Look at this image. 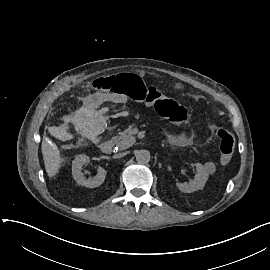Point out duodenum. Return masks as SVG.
Wrapping results in <instances>:
<instances>
[{"label": "duodenum", "mask_w": 270, "mask_h": 270, "mask_svg": "<svg viewBox=\"0 0 270 270\" xmlns=\"http://www.w3.org/2000/svg\"><path fill=\"white\" fill-rule=\"evenodd\" d=\"M114 143L112 140L107 139L100 144V149L103 153L109 154L113 149Z\"/></svg>", "instance_id": "1"}]
</instances>
